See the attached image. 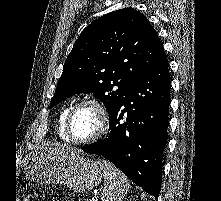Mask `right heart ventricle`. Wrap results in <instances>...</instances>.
I'll list each match as a JSON object with an SVG mask.
<instances>
[{
  "label": "right heart ventricle",
  "instance_id": "1",
  "mask_svg": "<svg viewBox=\"0 0 221 201\" xmlns=\"http://www.w3.org/2000/svg\"><path fill=\"white\" fill-rule=\"evenodd\" d=\"M71 106H66L62 109L58 117V134L60 138L65 142H70L65 129L66 117L70 110Z\"/></svg>",
  "mask_w": 221,
  "mask_h": 201
}]
</instances>
